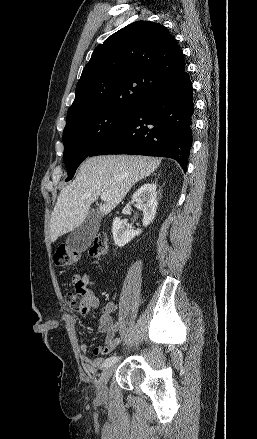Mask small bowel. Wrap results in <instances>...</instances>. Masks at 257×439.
Wrapping results in <instances>:
<instances>
[{"instance_id":"obj_1","label":"small bowel","mask_w":257,"mask_h":439,"mask_svg":"<svg viewBox=\"0 0 257 439\" xmlns=\"http://www.w3.org/2000/svg\"><path fill=\"white\" fill-rule=\"evenodd\" d=\"M73 283L75 289L82 288L86 292L82 314H87L91 309L99 307V298L89 288L92 284L90 276L76 275L73 278ZM113 310L114 304L112 302H108L102 306L101 314L98 318V331L105 333V340L102 345L93 349L92 353L94 357L89 356V348L86 344H79L80 359L83 369L87 374H95L106 360L102 356L113 352L122 342V340L116 336L118 327L112 317Z\"/></svg>"}]
</instances>
